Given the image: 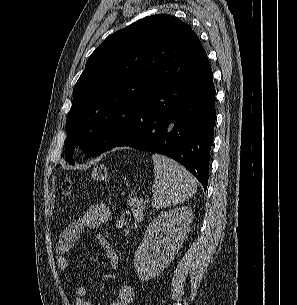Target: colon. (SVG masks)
Instances as JSON below:
<instances>
[{
    "label": "colon",
    "mask_w": 297,
    "mask_h": 305,
    "mask_svg": "<svg viewBox=\"0 0 297 305\" xmlns=\"http://www.w3.org/2000/svg\"><path fill=\"white\" fill-rule=\"evenodd\" d=\"M91 180L95 183H105L109 180V173L107 167L103 164H99L92 169ZM63 192L66 195L73 194V185L70 180H66L62 186ZM118 227L125 233H129L132 230V224L130 215L127 212L121 213L117 219Z\"/></svg>",
    "instance_id": "colon-1"
}]
</instances>
